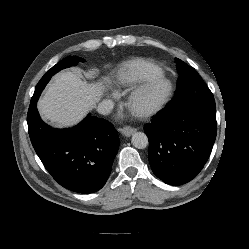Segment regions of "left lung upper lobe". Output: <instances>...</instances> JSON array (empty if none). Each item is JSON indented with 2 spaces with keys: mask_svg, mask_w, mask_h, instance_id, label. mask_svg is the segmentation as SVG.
Segmentation results:
<instances>
[{
  "mask_svg": "<svg viewBox=\"0 0 249 249\" xmlns=\"http://www.w3.org/2000/svg\"><path fill=\"white\" fill-rule=\"evenodd\" d=\"M175 61L179 74L177 90L165 108L166 113H178L195 106H215L213 94L198 72L178 58Z\"/></svg>",
  "mask_w": 249,
  "mask_h": 249,
  "instance_id": "left-lung-upper-lobe-1",
  "label": "left lung upper lobe"
}]
</instances>
